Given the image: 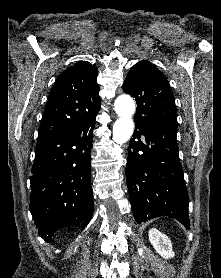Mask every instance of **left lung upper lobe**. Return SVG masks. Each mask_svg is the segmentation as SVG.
Wrapping results in <instances>:
<instances>
[{
	"label": "left lung upper lobe",
	"instance_id": "left-lung-upper-lobe-1",
	"mask_svg": "<svg viewBox=\"0 0 221 278\" xmlns=\"http://www.w3.org/2000/svg\"><path fill=\"white\" fill-rule=\"evenodd\" d=\"M122 89L135 97V122L147 126L177 127L174 96L166 77L152 63L140 61L135 64L129 70Z\"/></svg>",
	"mask_w": 221,
	"mask_h": 278
}]
</instances>
